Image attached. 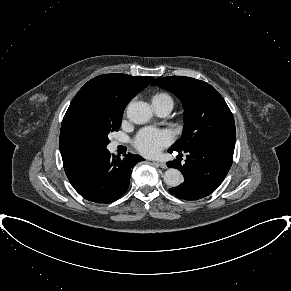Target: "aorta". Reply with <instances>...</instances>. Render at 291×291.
Here are the masks:
<instances>
[{"label": "aorta", "mask_w": 291, "mask_h": 291, "mask_svg": "<svg viewBox=\"0 0 291 291\" xmlns=\"http://www.w3.org/2000/svg\"><path fill=\"white\" fill-rule=\"evenodd\" d=\"M127 117L135 124H144L151 119L152 110L146 102H133L127 107ZM163 178L170 187H176L183 181L181 172L175 168L166 170Z\"/></svg>", "instance_id": "762f6f07"}]
</instances>
